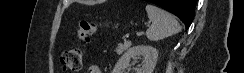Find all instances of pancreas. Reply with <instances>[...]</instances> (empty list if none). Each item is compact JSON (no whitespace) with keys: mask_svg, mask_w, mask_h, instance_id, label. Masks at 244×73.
Instances as JSON below:
<instances>
[{"mask_svg":"<svg viewBox=\"0 0 244 73\" xmlns=\"http://www.w3.org/2000/svg\"><path fill=\"white\" fill-rule=\"evenodd\" d=\"M130 46H131V42H129V41L124 42V43H119L118 46L115 49V52L117 54H122Z\"/></svg>","mask_w":244,"mask_h":73,"instance_id":"cf45deb5","label":"pancreas"}]
</instances>
